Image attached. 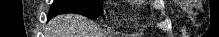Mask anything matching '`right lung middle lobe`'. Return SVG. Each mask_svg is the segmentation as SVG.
<instances>
[{
	"label": "right lung middle lobe",
	"instance_id": "dd1d6c3e",
	"mask_svg": "<svg viewBox=\"0 0 219 37\" xmlns=\"http://www.w3.org/2000/svg\"><path fill=\"white\" fill-rule=\"evenodd\" d=\"M62 13L81 14L89 19L103 13L100 0H56L50 9L48 17Z\"/></svg>",
	"mask_w": 219,
	"mask_h": 37
}]
</instances>
